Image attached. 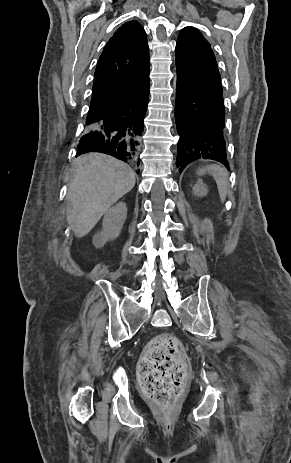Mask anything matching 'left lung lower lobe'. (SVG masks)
<instances>
[{"label": "left lung lower lobe", "instance_id": "0a47b994", "mask_svg": "<svg viewBox=\"0 0 291 463\" xmlns=\"http://www.w3.org/2000/svg\"><path fill=\"white\" fill-rule=\"evenodd\" d=\"M222 93L177 75L175 121L179 172L191 162L211 159L229 169Z\"/></svg>", "mask_w": 291, "mask_h": 463}]
</instances>
